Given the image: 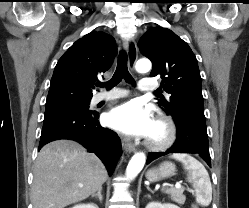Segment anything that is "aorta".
<instances>
[{
	"instance_id": "obj_1",
	"label": "aorta",
	"mask_w": 249,
	"mask_h": 208,
	"mask_svg": "<svg viewBox=\"0 0 249 208\" xmlns=\"http://www.w3.org/2000/svg\"><path fill=\"white\" fill-rule=\"evenodd\" d=\"M151 69V62L148 59H140L136 63V70L140 73L148 72ZM146 162V156L142 152L135 153L126 168V177L129 180L134 179L143 169Z\"/></svg>"
}]
</instances>
